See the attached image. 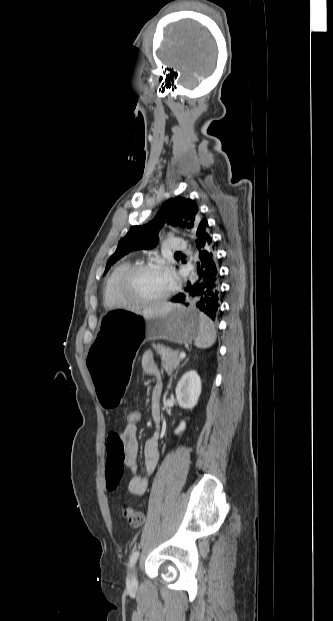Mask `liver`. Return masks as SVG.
Segmentation results:
<instances>
[{
    "instance_id": "liver-1",
    "label": "liver",
    "mask_w": 333,
    "mask_h": 621,
    "mask_svg": "<svg viewBox=\"0 0 333 621\" xmlns=\"http://www.w3.org/2000/svg\"><path fill=\"white\" fill-rule=\"evenodd\" d=\"M174 305L175 304H172L170 302L159 303L145 308L142 312H139L138 314H141L145 318H153L170 311Z\"/></svg>"
}]
</instances>
